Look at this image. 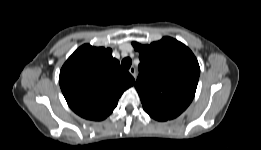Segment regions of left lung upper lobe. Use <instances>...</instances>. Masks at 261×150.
<instances>
[{
    "instance_id": "obj_1",
    "label": "left lung upper lobe",
    "mask_w": 261,
    "mask_h": 150,
    "mask_svg": "<svg viewBox=\"0 0 261 150\" xmlns=\"http://www.w3.org/2000/svg\"><path fill=\"white\" fill-rule=\"evenodd\" d=\"M132 44L140 52L135 87L144 110L168 119L177 117L195 95L200 75L196 57L187 46L170 37L150 45Z\"/></svg>"
}]
</instances>
